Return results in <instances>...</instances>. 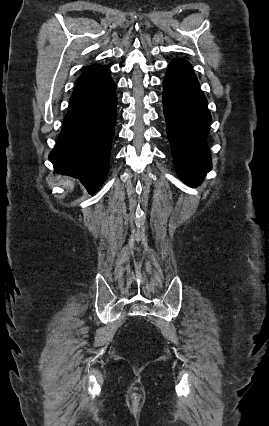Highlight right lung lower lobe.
I'll list each match as a JSON object with an SVG mask.
<instances>
[{"label":"right lung lower lobe","mask_w":269,"mask_h":426,"mask_svg":"<svg viewBox=\"0 0 269 426\" xmlns=\"http://www.w3.org/2000/svg\"><path fill=\"white\" fill-rule=\"evenodd\" d=\"M116 84L105 66L85 71L70 98L61 134L49 155L58 173L77 178L93 195L106 180L117 119Z\"/></svg>","instance_id":"98d812e1"}]
</instances>
